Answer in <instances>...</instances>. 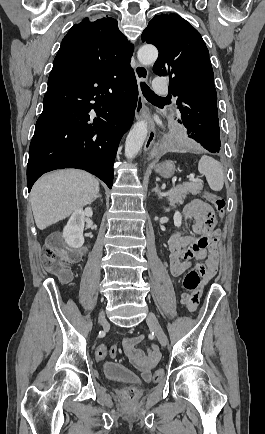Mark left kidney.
I'll use <instances>...</instances> for the list:
<instances>
[{
	"label": "left kidney",
	"mask_w": 265,
	"mask_h": 434,
	"mask_svg": "<svg viewBox=\"0 0 265 434\" xmlns=\"http://www.w3.org/2000/svg\"><path fill=\"white\" fill-rule=\"evenodd\" d=\"M166 212H169V210H166ZM173 220H174V226H177V228H180V226L182 224V216H181L180 212H175Z\"/></svg>",
	"instance_id": "5707ae66"
}]
</instances>
